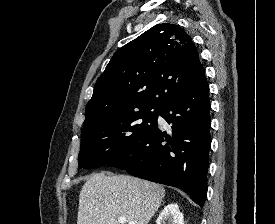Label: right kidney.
I'll use <instances>...</instances> for the list:
<instances>
[{"label": "right kidney", "instance_id": "right-kidney-1", "mask_svg": "<svg viewBox=\"0 0 275 224\" xmlns=\"http://www.w3.org/2000/svg\"><path fill=\"white\" fill-rule=\"evenodd\" d=\"M184 224L183 214L176 203L167 205L156 220V224Z\"/></svg>", "mask_w": 275, "mask_h": 224}]
</instances>
